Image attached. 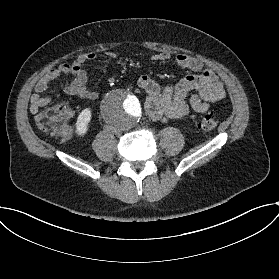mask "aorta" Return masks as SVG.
I'll use <instances>...</instances> for the list:
<instances>
[{"instance_id":"obj_1","label":"aorta","mask_w":279,"mask_h":279,"mask_svg":"<svg viewBox=\"0 0 279 279\" xmlns=\"http://www.w3.org/2000/svg\"><path fill=\"white\" fill-rule=\"evenodd\" d=\"M101 109L107 124L117 132L134 127L142 116L141 102L127 89L107 94Z\"/></svg>"}]
</instances>
